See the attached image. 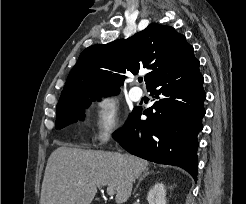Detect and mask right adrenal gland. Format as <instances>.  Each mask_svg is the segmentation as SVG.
<instances>
[{"label":"right adrenal gland","mask_w":246,"mask_h":204,"mask_svg":"<svg viewBox=\"0 0 246 204\" xmlns=\"http://www.w3.org/2000/svg\"><path fill=\"white\" fill-rule=\"evenodd\" d=\"M151 173H154V171H149V168H146V169L143 171V174L140 176V178H139V180H138V183H137V185H136V187H135L133 193H135V192L137 191V189H138V187H139L141 181H142L147 175H149V174H151Z\"/></svg>","instance_id":"2a0ac1e0"}]
</instances>
